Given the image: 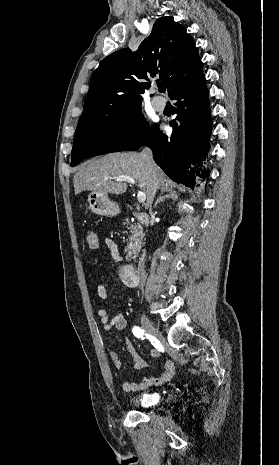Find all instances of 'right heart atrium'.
I'll return each mask as SVG.
<instances>
[{"label":"right heart atrium","instance_id":"right-heart-atrium-1","mask_svg":"<svg viewBox=\"0 0 279 465\" xmlns=\"http://www.w3.org/2000/svg\"><path fill=\"white\" fill-rule=\"evenodd\" d=\"M140 130V120L134 114L126 115L120 121L118 133L122 137L131 136Z\"/></svg>","mask_w":279,"mask_h":465}]
</instances>
